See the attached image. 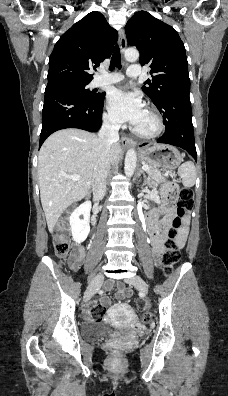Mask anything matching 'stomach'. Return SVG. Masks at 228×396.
<instances>
[{"label":"stomach","instance_id":"stomach-1","mask_svg":"<svg viewBox=\"0 0 228 396\" xmlns=\"http://www.w3.org/2000/svg\"><path fill=\"white\" fill-rule=\"evenodd\" d=\"M139 157L151 166L173 170L179 166L183 158L180 152L167 144H155L140 150Z\"/></svg>","mask_w":228,"mask_h":396}]
</instances>
